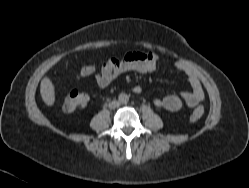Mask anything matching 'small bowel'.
Listing matches in <instances>:
<instances>
[{"label":"small bowel","mask_w":249,"mask_h":188,"mask_svg":"<svg viewBox=\"0 0 249 188\" xmlns=\"http://www.w3.org/2000/svg\"><path fill=\"white\" fill-rule=\"evenodd\" d=\"M158 63L159 58L156 54L138 51L128 52L121 60L111 58L101 65L96 75L97 87L100 90L105 89L118 75L125 72L153 73L157 70ZM176 68L187 77L191 90L154 100L155 106L170 112L180 110L183 105L195 107L204 98V91L196 73L183 62H177Z\"/></svg>","instance_id":"c3829d8e"}]
</instances>
